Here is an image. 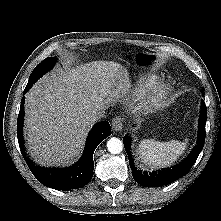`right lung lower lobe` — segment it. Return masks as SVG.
<instances>
[{
    "instance_id": "right-lung-lower-lobe-1",
    "label": "right lung lower lobe",
    "mask_w": 221,
    "mask_h": 221,
    "mask_svg": "<svg viewBox=\"0 0 221 221\" xmlns=\"http://www.w3.org/2000/svg\"><path fill=\"white\" fill-rule=\"evenodd\" d=\"M30 88L31 86H26L24 94ZM24 99L25 98L23 97L21 100L17 120V137L22 155L33 175L43 185L57 190H70L85 186L93 176V153L96 147L100 144V142L111 135L109 122H99L93 127L87 138L83 156L73 166L68 168H45L35 166L26 156L27 154L25 153L24 140L22 136Z\"/></svg>"
}]
</instances>
